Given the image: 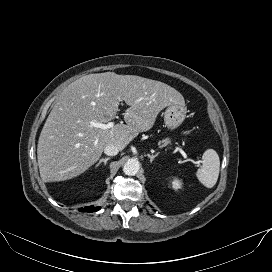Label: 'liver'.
<instances>
[{"label": "liver", "instance_id": "6515ba94", "mask_svg": "<svg viewBox=\"0 0 272 272\" xmlns=\"http://www.w3.org/2000/svg\"><path fill=\"white\" fill-rule=\"evenodd\" d=\"M121 101L129 106L126 124L106 130L91 126L112 120ZM171 104H185L184 98L160 81L114 72L77 79L59 96L41 131L37 158L42 180L64 181L82 174L109 144L122 151L140 132L150 130L159 112Z\"/></svg>", "mask_w": 272, "mask_h": 272}]
</instances>
